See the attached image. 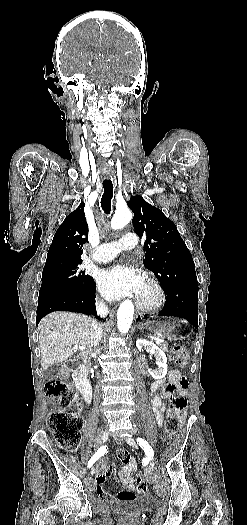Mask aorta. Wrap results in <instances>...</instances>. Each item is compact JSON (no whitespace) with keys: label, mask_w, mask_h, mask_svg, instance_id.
<instances>
[{"label":"aorta","mask_w":247,"mask_h":525,"mask_svg":"<svg viewBox=\"0 0 247 525\" xmlns=\"http://www.w3.org/2000/svg\"><path fill=\"white\" fill-rule=\"evenodd\" d=\"M132 220V213L129 209L118 210L111 220V228L118 230L123 228ZM134 315V305L130 300L121 303L117 312V327L123 334L127 333L131 327Z\"/></svg>","instance_id":"1"}]
</instances>
